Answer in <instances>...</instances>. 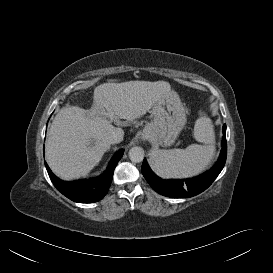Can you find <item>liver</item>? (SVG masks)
Returning a JSON list of instances; mask_svg holds the SVG:
<instances>
[{"instance_id":"6515ba94","label":"liver","mask_w":273,"mask_h":273,"mask_svg":"<svg viewBox=\"0 0 273 273\" xmlns=\"http://www.w3.org/2000/svg\"><path fill=\"white\" fill-rule=\"evenodd\" d=\"M171 90L165 81L104 83L94 90L93 105L60 109L48 131L46 160L62 179L87 175L110 148L108 136L122 125L119 119L133 121L143 116Z\"/></svg>"}]
</instances>
